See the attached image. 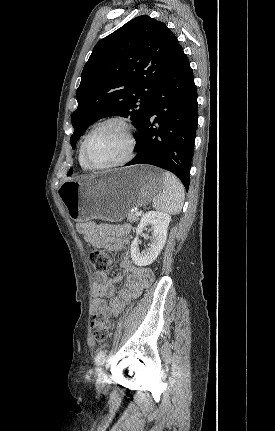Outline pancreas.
<instances>
[{
    "label": "pancreas",
    "instance_id": "pancreas-1",
    "mask_svg": "<svg viewBox=\"0 0 275 431\" xmlns=\"http://www.w3.org/2000/svg\"><path fill=\"white\" fill-rule=\"evenodd\" d=\"M127 220L129 222H137V221H139V216L134 215V214H127Z\"/></svg>",
    "mask_w": 275,
    "mask_h": 431
}]
</instances>
